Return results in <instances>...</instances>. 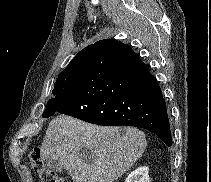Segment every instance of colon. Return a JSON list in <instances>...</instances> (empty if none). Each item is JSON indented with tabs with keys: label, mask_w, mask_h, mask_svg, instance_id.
<instances>
[{
	"label": "colon",
	"mask_w": 211,
	"mask_h": 182,
	"mask_svg": "<svg viewBox=\"0 0 211 182\" xmlns=\"http://www.w3.org/2000/svg\"><path fill=\"white\" fill-rule=\"evenodd\" d=\"M31 165L35 172L38 173L41 182H65L54 171L48 169L42 159L40 148H34L29 153Z\"/></svg>",
	"instance_id": "1"
}]
</instances>
